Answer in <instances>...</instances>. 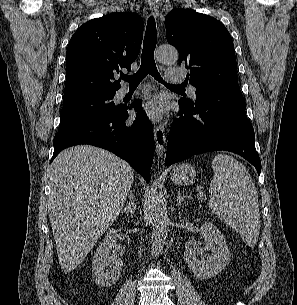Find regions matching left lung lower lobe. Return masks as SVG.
Instances as JSON below:
<instances>
[{
  "label": "left lung lower lobe",
  "instance_id": "left-lung-lower-lobe-1",
  "mask_svg": "<svg viewBox=\"0 0 297 305\" xmlns=\"http://www.w3.org/2000/svg\"><path fill=\"white\" fill-rule=\"evenodd\" d=\"M179 105L180 114L170 130L167 166L195 154L225 150L241 155L260 174L255 134L238 83L196 97L195 102L181 99Z\"/></svg>",
  "mask_w": 297,
  "mask_h": 305
}]
</instances>
